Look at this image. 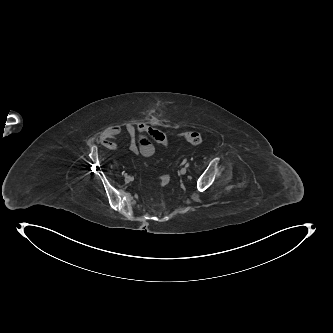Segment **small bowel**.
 <instances>
[{"instance_id":"1","label":"small bowel","mask_w":333,"mask_h":333,"mask_svg":"<svg viewBox=\"0 0 333 333\" xmlns=\"http://www.w3.org/2000/svg\"><path fill=\"white\" fill-rule=\"evenodd\" d=\"M123 132H126L131 140L129 148L134 155H141L145 158L152 157L155 153L153 142L160 143L166 148L169 147V140L162 131L144 123L136 125L128 123L124 127L117 125L108 127L101 133L98 142L104 148L114 151L117 149L114 138Z\"/></svg>"}]
</instances>
